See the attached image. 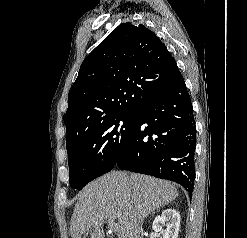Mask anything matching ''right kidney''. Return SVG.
<instances>
[{
    "label": "right kidney",
    "mask_w": 247,
    "mask_h": 238,
    "mask_svg": "<svg viewBox=\"0 0 247 238\" xmlns=\"http://www.w3.org/2000/svg\"><path fill=\"white\" fill-rule=\"evenodd\" d=\"M152 228L155 232L161 233L163 238H177L180 228L179 213L172 208L165 209L161 215L155 218Z\"/></svg>",
    "instance_id": "right-kidney-1"
}]
</instances>
